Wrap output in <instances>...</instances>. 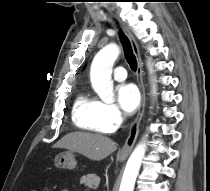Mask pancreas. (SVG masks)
Listing matches in <instances>:
<instances>
[{
    "mask_svg": "<svg viewBox=\"0 0 210 191\" xmlns=\"http://www.w3.org/2000/svg\"><path fill=\"white\" fill-rule=\"evenodd\" d=\"M80 183L84 184L88 189H97L100 183V178L95 174H88L86 176H82L80 179Z\"/></svg>",
    "mask_w": 210,
    "mask_h": 191,
    "instance_id": "1",
    "label": "pancreas"
}]
</instances>
